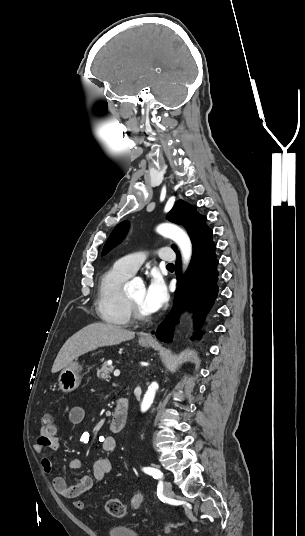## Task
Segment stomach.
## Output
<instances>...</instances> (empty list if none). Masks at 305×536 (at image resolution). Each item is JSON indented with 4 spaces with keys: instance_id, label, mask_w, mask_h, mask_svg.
Listing matches in <instances>:
<instances>
[{
    "instance_id": "1",
    "label": "stomach",
    "mask_w": 305,
    "mask_h": 536,
    "mask_svg": "<svg viewBox=\"0 0 305 536\" xmlns=\"http://www.w3.org/2000/svg\"><path fill=\"white\" fill-rule=\"evenodd\" d=\"M139 344L140 346H148L149 340H139ZM81 370L78 362H71L66 368H63L58 378V386L62 392H73L78 388L81 382Z\"/></svg>"
}]
</instances>
